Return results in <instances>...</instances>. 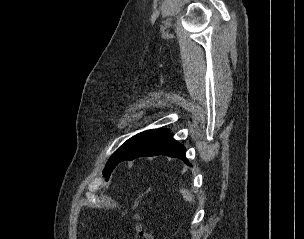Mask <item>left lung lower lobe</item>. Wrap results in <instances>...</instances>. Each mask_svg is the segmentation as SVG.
Masks as SVG:
<instances>
[{
  "instance_id": "left-lung-lower-lobe-1",
  "label": "left lung lower lobe",
  "mask_w": 304,
  "mask_h": 239,
  "mask_svg": "<svg viewBox=\"0 0 304 239\" xmlns=\"http://www.w3.org/2000/svg\"><path fill=\"white\" fill-rule=\"evenodd\" d=\"M166 155L182 159L188 164L185 148L173 139L168 129H158L135 145L121 161L133 160L143 156ZM119 162V163H120ZM118 163V164H119Z\"/></svg>"
}]
</instances>
